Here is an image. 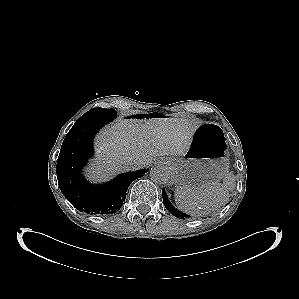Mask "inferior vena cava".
<instances>
[{"label":"inferior vena cava","mask_w":299,"mask_h":299,"mask_svg":"<svg viewBox=\"0 0 299 299\" xmlns=\"http://www.w3.org/2000/svg\"><path fill=\"white\" fill-rule=\"evenodd\" d=\"M129 165L131 169H140L145 165V163L141 161H133Z\"/></svg>","instance_id":"602c4592"}]
</instances>
